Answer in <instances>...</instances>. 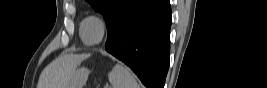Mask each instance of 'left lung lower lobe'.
Listing matches in <instances>:
<instances>
[{
	"instance_id": "left-lung-lower-lobe-1",
	"label": "left lung lower lobe",
	"mask_w": 267,
	"mask_h": 88,
	"mask_svg": "<svg viewBox=\"0 0 267 88\" xmlns=\"http://www.w3.org/2000/svg\"><path fill=\"white\" fill-rule=\"evenodd\" d=\"M170 26L168 0H134L108 30L105 50L128 65L147 88H163Z\"/></svg>"
}]
</instances>
